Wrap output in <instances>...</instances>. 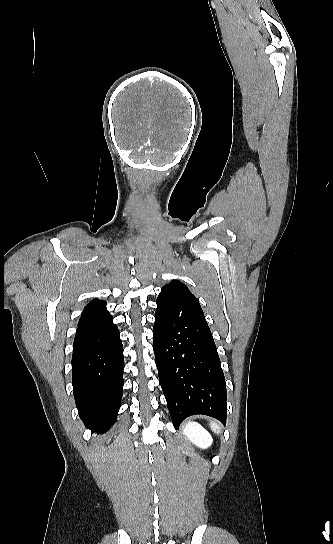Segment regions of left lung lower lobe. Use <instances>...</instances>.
Segmentation results:
<instances>
[{
  "mask_svg": "<svg viewBox=\"0 0 333 544\" xmlns=\"http://www.w3.org/2000/svg\"><path fill=\"white\" fill-rule=\"evenodd\" d=\"M156 304L155 361L174 427L195 414L225 425V377L198 300L171 296Z\"/></svg>",
  "mask_w": 333,
  "mask_h": 544,
  "instance_id": "obj_1",
  "label": "left lung lower lobe"
}]
</instances>
